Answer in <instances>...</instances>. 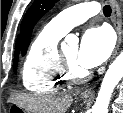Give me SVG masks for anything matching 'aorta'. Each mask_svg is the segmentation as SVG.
<instances>
[{
	"instance_id": "1",
	"label": "aorta",
	"mask_w": 123,
	"mask_h": 113,
	"mask_svg": "<svg viewBox=\"0 0 123 113\" xmlns=\"http://www.w3.org/2000/svg\"><path fill=\"white\" fill-rule=\"evenodd\" d=\"M78 42V38L75 35H68L65 38L63 47L65 43ZM123 77V51L116 57V59L109 66L103 81L101 83L98 96L96 98L95 104L92 107V113H108V105L110 102L111 95L115 86Z\"/></svg>"
}]
</instances>
